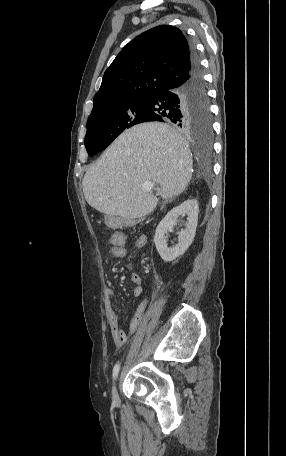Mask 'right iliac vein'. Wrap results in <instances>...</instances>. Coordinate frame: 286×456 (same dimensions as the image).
Wrapping results in <instances>:
<instances>
[{
  "instance_id": "63e3f726",
  "label": "right iliac vein",
  "mask_w": 286,
  "mask_h": 456,
  "mask_svg": "<svg viewBox=\"0 0 286 456\" xmlns=\"http://www.w3.org/2000/svg\"><path fill=\"white\" fill-rule=\"evenodd\" d=\"M112 398H113L114 402H118L119 401V396H118V392H117V389H116L115 385L112 388Z\"/></svg>"
}]
</instances>
